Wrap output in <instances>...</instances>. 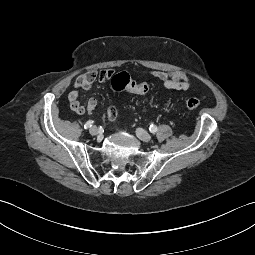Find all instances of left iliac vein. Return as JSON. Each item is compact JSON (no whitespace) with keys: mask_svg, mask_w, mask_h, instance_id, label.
I'll return each instance as SVG.
<instances>
[{"mask_svg":"<svg viewBox=\"0 0 255 255\" xmlns=\"http://www.w3.org/2000/svg\"><path fill=\"white\" fill-rule=\"evenodd\" d=\"M136 135L140 140L144 142H149L152 139L151 135L142 128H138L136 130Z\"/></svg>","mask_w":255,"mask_h":255,"instance_id":"1","label":"left iliac vein"}]
</instances>
